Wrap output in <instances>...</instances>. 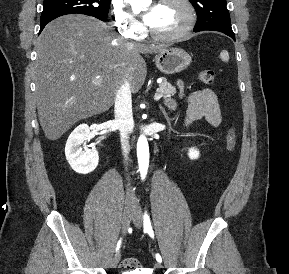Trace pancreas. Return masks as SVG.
<instances>
[{
	"label": "pancreas",
	"instance_id": "pancreas-1",
	"mask_svg": "<svg viewBox=\"0 0 289 274\" xmlns=\"http://www.w3.org/2000/svg\"><path fill=\"white\" fill-rule=\"evenodd\" d=\"M156 92L157 94H160L164 99H169L173 95H175L176 88L172 86L166 79H163Z\"/></svg>",
	"mask_w": 289,
	"mask_h": 274
}]
</instances>
